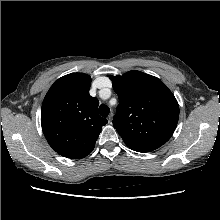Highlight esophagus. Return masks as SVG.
I'll return each mask as SVG.
<instances>
[{
	"label": "esophagus",
	"mask_w": 220,
	"mask_h": 220,
	"mask_svg": "<svg viewBox=\"0 0 220 220\" xmlns=\"http://www.w3.org/2000/svg\"><path fill=\"white\" fill-rule=\"evenodd\" d=\"M112 117H113L112 113L107 117L108 123H111Z\"/></svg>",
	"instance_id": "esophagus-1"
}]
</instances>
